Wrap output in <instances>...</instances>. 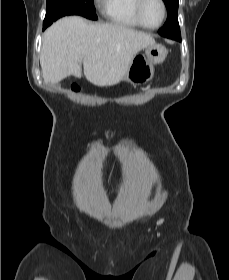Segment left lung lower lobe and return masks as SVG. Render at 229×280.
<instances>
[{
    "mask_svg": "<svg viewBox=\"0 0 229 280\" xmlns=\"http://www.w3.org/2000/svg\"><path fill=\"white\" fill-rule=\"evenodd\" d=\"M175 40L181 41V37H179V38H177V39H175Z\"/></svg>",
    "mask_w": 229,
    "mask_h": 280,
    "instance_id": "obj_1",
    "label": "left lung lower lobe"
}]
</instances>
